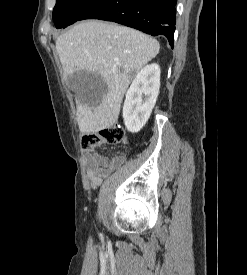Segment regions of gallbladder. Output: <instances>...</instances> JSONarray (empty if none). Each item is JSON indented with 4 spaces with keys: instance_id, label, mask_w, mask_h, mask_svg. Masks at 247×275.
<instances>
[{
    "instance_id": "bac80fb5",
    "label": "gallbladder",
    "mask_w": 247,
    "mask_h": 275,
    "mask_svg": "<svg viewBox=\"0 0 247 275\" xmlns=\"http://www.w3.org/2000/svg\"><path fill=\"white\" fill-rule=\"evenodd\" d=\"M67 82L69 87L84 102H87L97 92L103 94L105 91L104 81L96 73L76 72L67 78Z\"/></svg>"
}]
</instances>
